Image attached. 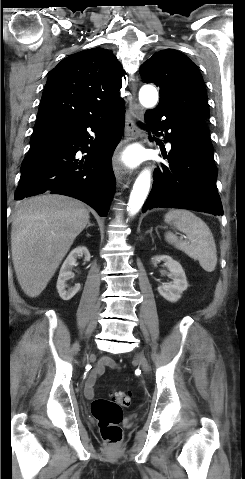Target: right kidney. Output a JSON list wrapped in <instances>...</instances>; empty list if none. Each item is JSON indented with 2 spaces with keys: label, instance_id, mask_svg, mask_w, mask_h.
Returning <instances> with one entry per match:
<instances>
[{
  "label": "right kidney",
  "instance_id": "right-kidney-1",
  "mask_svg": "<svg viewBox=\"0 0 245 479\" xmlns=\"http://www.w3.org/2000/svg\"><path fill=\"white\" fill-rule=\"evenodd\" d=\"M84 256L85 261H90V253L88 249L84 246H79L75 249H73L69 255L67 256L66 260L64 261L57 280V290L59 293V296L64 300L68 301L70 300L79 290H80V284H75L74 287L67 288L66 282L72 278V269L76 265V260L78 257Z\"/></svg>",
  "mask_w": 245,
  "mask_h": 479
}]
</instances>
